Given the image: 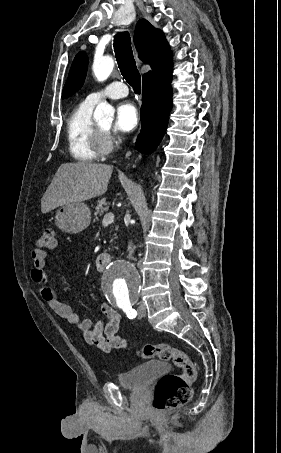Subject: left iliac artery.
I'll list each match as a JSON object with an SVG mask.
<instances>
[{
    "mask_svg": "<svg viewBox=\"0 0 281 453\" xmlns=\"http://www.w3.org/2000/svg\"><path fill=\"white\" fill-rule=\"evenodd\" d=\"M120 308L123 309L129 319H133L137 316V312L132 309L131 304L120 306Z\"/></svg>",
    "mask_w": 281,
    "mask_h": 453,
    "instance_id": "1",
    "label": "left iliac artery"
}]
</instances>
